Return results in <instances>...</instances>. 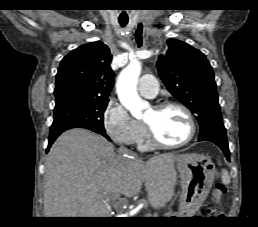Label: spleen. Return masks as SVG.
Returning <instances> with one entry per match:
<instances>
[{
  "label": "spleen",
  "mask_w": 258,
  "mask_h": 227,
  "mask_svg": "<svg viewBox=\"0 0 258 227\" xmlns=\"http://www.w3.org/2000/svg\"><path fill=\"white\" fill-rule=\"evenodd\" d=\"M222 182L226 185L230 183V176L228 174L227 170H222V176H221Z\"/></svg>",
  "instance_id": "obj_1"
}]
</instances>
